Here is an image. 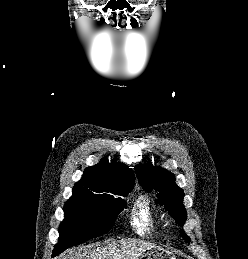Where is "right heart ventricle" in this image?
<instances>
[{
    "mask_svg": "<svg viewBox=\"0 0 248 259\" xmlns=\"http://www.w3.org/2000/svg\"><path fill=\"white\" fill-rule=\"evenodd\" d=\"M133 225L141 231H149L154 225V216L147 198H140L133 212Z\"/></svg>",
    "mask_w": 248,
    "mask_h": 259,
    "instance_id": "1",
    "label": "right heart ventricle"
}]
</instances>
